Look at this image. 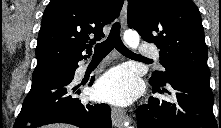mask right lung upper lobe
Here are the masks:
<instances>
[{"mask_svg":"<svg viewBox=\"0 0 221 128\" xmlns=\"http://www.w3.org/2000/svg\"><path fill=\"white\" fill-rule=\"evenodd\" d=\"M124 0H51L44 11L36 47L35 78L86 59L103 27L119 16ZM93 37V39H91Z\"/></svg>","mask_w":221,"mask_h":128,"instance_id":"1","label":"right lung upper lobe"}]
</instances>
